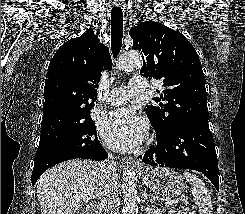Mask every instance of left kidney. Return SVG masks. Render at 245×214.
Returning a JSON list of instances; mask_svg holds the SVG:
<instances>
[{"instance_id": "obj_1", "label": "left kidney", "mask_w": 245, "mask_h": 214, "mask_svg": "<svg viewBox=\"0 0 245 214\" xmlns=\"http://www.w3.org/2000/svg\"><path fill=\"white\" fill-rule=\"evenodd\" d=\"M175 212H176V211L171 210V211L169 212V214H175ZM177 214H179V213H177Z\"/></svg>"}]
</instances>
